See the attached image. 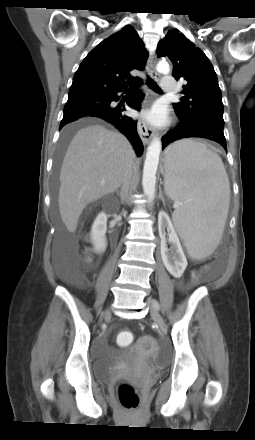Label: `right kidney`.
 I'll return each instance as SVG.
<instances>
[{"mask_svg":"<svg viewBox=\"0 0 255 440\" xmlns=\"http://www.w3.org/2000/svg\"><path fill=\"white\" fill-rule=\"evenodd\" d=\"M107 231V216L104 212H101L96 217L91 228V239L96 253H102L105 251Z\"/></svg>","mask_w":255,"mask_h":440,"instance_id":"right-kidney-1","label":"right kidney"}]
</instances>
